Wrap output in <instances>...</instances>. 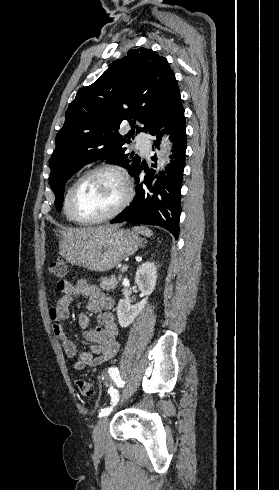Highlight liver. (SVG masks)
I'll return each mask as SVG.
<instances>
[{"label": "liver", "instance_id": "6515ba94", "mask_svg": "<svg viewBox=\"0 0 279 490\" xmlns=\"http://www.w3.org/2000/svg\"><path fill=\"white\" fill-rule=\"evenodd\" d=\"M119 226H99V228H76V230H67V232H62V236H69V238H74V240H79V238H85V236H91V234H107L111 230H117Z\"/></svg>", "mask_w": 279, "mask_h": 490}]
</instances>
